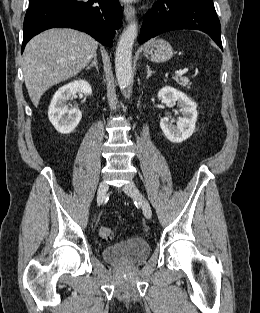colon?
Wrapping results in <instances>:
<instances>
[{
    "label": "colon",
    "instance_id": "colon-1",
    "mask_svg": "<svg viewBox=\"0 0 260 313\" xmlns=\"http://www.w3.org/2000/svg\"><path fill=\"white\" fill-rule=\"evenodd\" d=\"M98 235L105 241H111L114 239V233L111 228L105 225L98 226Z\"/></svg>",
    "mask_w": 260,
    "mask_h": 313
}]
</instances>
